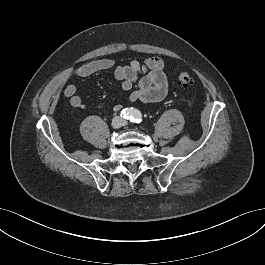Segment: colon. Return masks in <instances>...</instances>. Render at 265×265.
Listing matches in <instances>:
<instances>
[{
  "label": "colon",
  "mask_w": 265,
  "mask_h": 265,
  "mask_svg": "<svg viewBox=\"0 0 265 265\" xmlns=\"http://www.w3.org/2000/svg\"><path fill=\"white\" fill-rule=\"evenodd\" d=\"M177 79L180 87L187 88L192 84V78L187 72H179Z\"/></svg>",
  "instance_id": "colon-1"
}]
</instances>
